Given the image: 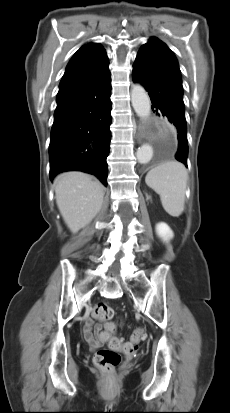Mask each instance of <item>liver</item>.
I'll use <instances>...</instances> for the list:
<instances>
[{
	"label": "liver",
	"mask_w": 230,
	"mask_h": 413,
	"mask_svg": "<svg viewBox=\"0 0 230 413\" xmlns=\"http://www.w3.org/2000/svg\"><path fill=\"white\" fill-rule=\"evenodd\" d=\"M56 203L71 232L88 225L100 212L104 187L82 172H65L54 180Z\"/></svg>",
	"instance_id": "obj_1"
}]
</instances>
